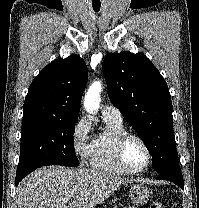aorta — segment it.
Here are the masks:
<instances>
[{
    "instance_id": "obj_1",
    "label": "aorta",
    "mask_w": 199,
    "mask_h": 208,
    "mask_svg": "<svg viewBox=\"0 0 199 208\" xmlns=\"http://www.w3.org/2000/svg\"><path fill=\"white\" fill-rule=\"evenodd\" d=\"M102 90V85L99 81H95L89 87L85 98L84 107L89 113H95L98 111L100 106V93Z\"/></svg>"
}]
</instances>
